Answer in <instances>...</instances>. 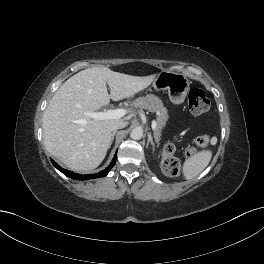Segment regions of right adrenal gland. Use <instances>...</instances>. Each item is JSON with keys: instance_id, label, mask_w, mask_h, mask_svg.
Here are the masks:
<instances>
[{"instance_id": "1", "label": "right adrenal gland", "mask_w": 264, "mask_h": 264, "mask_svg": "<svg viewBox=\"0 0 264 264\" xmlns=\"http://www.w3.org/2000/svg\"><path fill=\"white\" fill-rule=\"evenodd\" d=\"M117 133V131L115 130V131H113V133H112V137H111V143H110V145L112 144V142H113V140H114V136H115V134Z\"/></svg>"}]
</instances>
